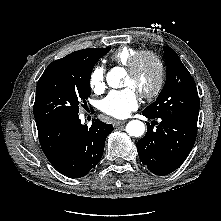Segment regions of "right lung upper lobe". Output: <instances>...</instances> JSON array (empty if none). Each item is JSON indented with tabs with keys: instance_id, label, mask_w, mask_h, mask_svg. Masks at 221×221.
I'll use <instances>...</instances> for the list:
<instances>
[{
	"instance_id": "obj_1",
	"label": "right lung upper lobe",
	"mask_w": 221,
	"mask_h": 221,
	"mask_svg": "<svg viewBox=\"0 0 221 221\" xmlns=\"http://www.w3.org/2000/svg\"><path fill=\"white\" fill-rule=\"evenodd\" d=\"M102 49H105V48H102ZM91 50H93V49L79 50V51L73 52V53H71V54H69V55H67V56H74V55H78V54H81V53L89 52V51H91Z\"/></svg>"
}]
</instances>
